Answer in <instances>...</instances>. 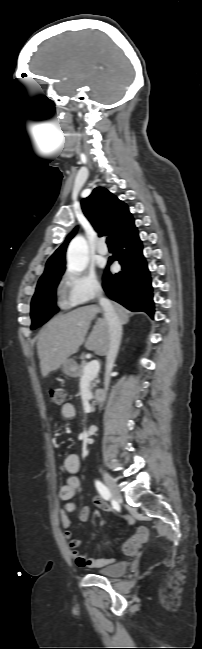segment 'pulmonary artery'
Instances as JSON below:
<instances>
[{
    "instance_id": "e3ab8cb5",
    "label": "pulmonary artery",
    "mask_w": 202,
    "mask_h": 649,
    "mask_svg": "<svg viewBox=\"0 0 202 649\" xmlns=\"http://www.w3.org/2000/svg\"><path fill=\"white\" fill-rule=\"evenodd\" d=\"M97 252L101 255H106L108 253V248L104 243V240H100L97 245Z\"/></svg>"
}]
</instances>
